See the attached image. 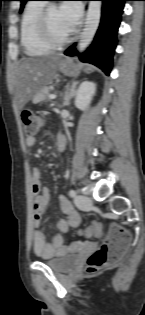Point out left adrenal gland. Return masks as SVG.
<instances>
[{
    "mask_svg": "<svg viewBox=\"0 0 145 315\" xmlns=\"http://www.w3.org/2000/svg\"><path fill=\"white\" fill-rule=\"evenodd\" d=\"M77 82H73L71 85H68L66 87L65 93H64V105L69 106L70 100L76 96L78 89H76Z\"/></svg>",
    "mask_w": 145,
    "mask_h": 315,
    "instance_id": "a2214340",
    "label": "left adrenal gland"
}]
</instances>
